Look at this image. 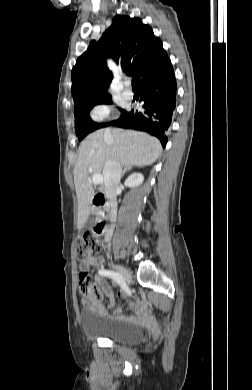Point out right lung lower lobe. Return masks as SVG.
<instances>
[{"label": "right lung lower lobe", "mask_w": 252, "mask_h": 390, "mask_svg": "<svg viewBox=\"0 0 252 390\" xmlns=\"http://www.w3.org/2000/svg\"><path fill=\"white\" fill-rule=\"evenodd\" d=\"M138 87L141 100L144 102V111L139 113L133 110L125 111L118 120L111 124L146 131L159 138L165 147L166 131L171 124L176 107L177 85L173 68L157 76L145 78Z\"/></svg>", "instance_id": "right-lung-lower-lobe-1"}]
</instances>
